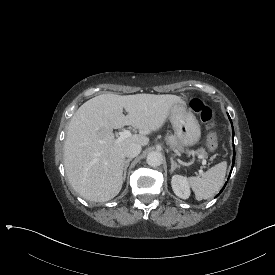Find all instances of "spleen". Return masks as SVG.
I'll return each instance as SVG.
<instances>
[{
  "mask_svg": "<svg viewBox=\"0 0 275 275\" xmlns=\"http://www.w3.org/2000/svg\"><path fill=\"white\" fill-rule=\"evenodd\" d=\"M227 161L216 164L202 177H192L190 183L196 192L197 200L208 199L216 195L224 184Z\"/></svg>",
  "mask_w": 275,
  "mask_h": 275,
  "instance_id": "obj_1",
  "label": "spleen"
}]
</instances>
